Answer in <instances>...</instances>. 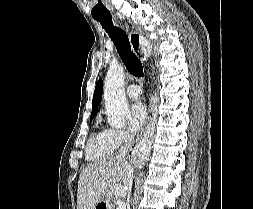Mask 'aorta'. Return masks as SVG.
I'll list each match as a JSON object with an SVG mask.
<instances>
[{
    "instance_id": "1",
    "label": "aorta",
    "mask_w": 253,
    "mask_h": 209,
    "mask_svg": "<svg viewBox=\"0 0 253 209\" xmlns=\"http://www.w3.org/2000/svg\"><path fill=\"white\" fill-rule=\"evenodd\" d=\"M104 101L108 123L121 128L130 112L124 91V68L111 64L104 81Z\"/></svg>"
}]
</instances>
